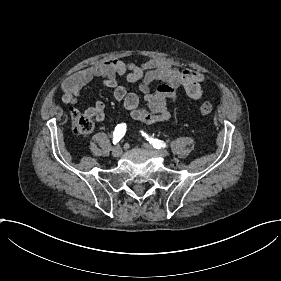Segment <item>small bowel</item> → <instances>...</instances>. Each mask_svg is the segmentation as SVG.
Masks as SVG:
<instances>
[{
	"label": "small bowel",
	"instance_id": "1",
	"mask_svg": "<svg viewBox=\"0 0 281 281\" xmlns=\"http://www.w3.org/2000/svg\"><path fill=\"white\" fill-rule=\"evenodd\" d=\"M118 76H123L129 82H141V90L145 97L144 106H139L136 94L128 93L118 84ZM96 80L111 88L113 98L122 102L134 119L144 123L167 122L171 117L167 102L177 99L178 89H183L194 100H200L204 96L201 87L203 75L198 70L180 72L156 59H150L142 65L112 59L93 65L68 78L61 86L63 101L77 105L81 90ZM154 81H162L163 84L152 92L148 86ZM105 111V103L97 100L94 109H87L85 112L88 116H95L101 121Z\"/></svg>",
	"mask_w": 281,
	"mask_h": 281
}]
</instances>
